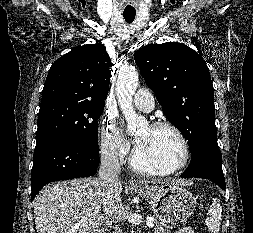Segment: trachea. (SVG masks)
Instances as JSON below:
<instances>
[{
    "mask_svg": "<svg viewBox=\"0 0 253 233\" xmlns=\"http://www.w3.org/2000/svg\"><path fill=\"white\" fill-rule=\"evenodd\" d=\"M135 15H136L135 12H130V13H124L123 14L124 19L127 23H132L135 19Z\"/></svg>",
    "mask_w": 253,
    "mask_h": 233,
    "instance_id": "1",
    "label": "trachea"
}]
</instances>
